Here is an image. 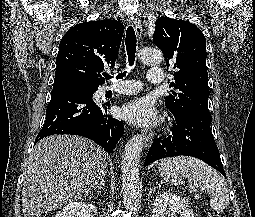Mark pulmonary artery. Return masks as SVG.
Listing matches in <instances>:
<instances>
[{
  "instance_id": "1",
  "label": "pulmonary artery",
  "mask_w": 255,
  "mask_h": 217,
  "mask_svg": "<svg viewBox=\"0 0 255 217\" xmlns=\"http://www.w3.org/2000/svg\"><path fill=\"white\" fill-rule=\"evenodd\" d=\"M147 79L151 83L160 84L164 82L165 75L160 68H151L147 73ZM118 94H136L141 90V83L136 80H128L125 85L110 88Z\"/></svg>"
}]
</instances>
